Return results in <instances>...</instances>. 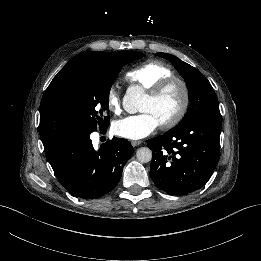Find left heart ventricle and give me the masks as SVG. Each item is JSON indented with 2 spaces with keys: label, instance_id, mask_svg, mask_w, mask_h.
Here are the masks:
<instances>
[{
  "label": "left heart ventricle",
  "instance_id": "1",
  "mask_svg": "<svg viewBox=\"0 0 261 261\" xmlns=\"http://www.w3.org/2000/svg\"><path fill=\"white\" fill-rule=\"evenodd\" d=\"M181 102V89L175 86L156 100L146 97L141 104L140 111L151 112L162 123L170 119L178 111Z\"/></svg>",
  "mask_w": 261,
  "mask_h": 261
}]
</instances>
